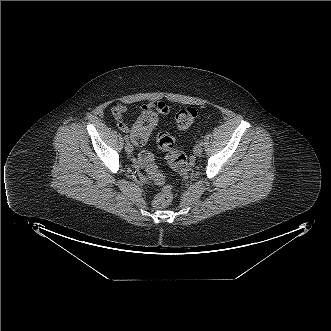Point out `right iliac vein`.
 I'll return each mask as SVG.
<instances>
[{"instance_id": "1", "label": "right iliac vein", "mask_w": 331, "mask_h": 331, "mask_svg": "<svg viewBox=\"0 0 331 331\" xmlns=\"http://www.w3.org/2000/svg\"><path fill=\"white\" fill-rule=\"evenodd\" d=\"M125 151L127 152V153H132V151H133V146H132V144L131 143H126L125 144Z\"/></svg>"}]
</instances>
